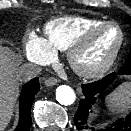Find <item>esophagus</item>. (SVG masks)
Here are the masks:
<instances>
[{
  "mask_svg": "<svg viewBox=\"0 0 131 131\" xmlns=\"http://www.w3.org/2000/svg\"><path fill=\"white\" fill-rule=\"evenodd\" d=\"M57 83H58V80L55 77H49V78L45 79V81H44V84L46 87H52V86L56 85Z\"/></svg>",
  "mask_w": 131,
  "mask_h": 131,
  "instance_id": "esophagus-1",
  "label": "esophagus"
}]
</instances>
